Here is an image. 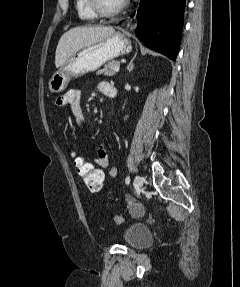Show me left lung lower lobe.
<instances>
[{
    "label": "left lung lower lobe",
    "instance_id": "1",
    "mask_svg": "<svg viewBox=\"0 0 240 287\" xmlns=\"http://www.w3.org/2000/svg\"><path fill=\"white\" fill-rule=\"evenodd\" d=\"M185 0H141L136 13V36L175 61L183 27Z\"/></svg>",
    "mask_w": 240,
    "mask_h": 287
}]
</instances>
